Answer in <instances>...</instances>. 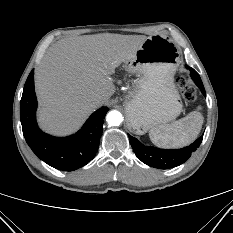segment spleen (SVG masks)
<instances>
[{
	"label": "spleen",
	"instance_id": "3e777b00",
	"mask_svg": "<svg viewBox=\"0 0 233 233\" xmlns=\"http://www.w3.org/2000/svg\"><path fill=\"white\" fill-rule=\"evenodd\" d=\"M203 115L199 110L190 112L186 117L171 124L160 125L149 131L153 144L162 148H181L192 143L198 136Z\"/></svg>",
	"mask_w": 233,
	"mask_h": 233
}]
</instances>
